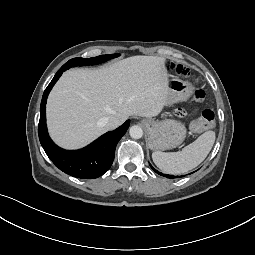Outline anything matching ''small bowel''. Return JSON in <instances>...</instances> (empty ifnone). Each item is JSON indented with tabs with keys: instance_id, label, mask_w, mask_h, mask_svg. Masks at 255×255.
Masks as SVG:
<instances>
[{
	"instance_id": "small-bowel-1",
	"label": "small bowel",
	"mask_w": 255,
	"mask_h": 255,
	"mask_svg": "<svg viewBox=\"0 0 255 255\" xmlns=\"http://www.w3.org/2000/svg\"><path fill=\"white\" fill-rule=\"evenodd\" d=\"M173 117L176 121L178 122H183L187 119L188 117V112L185 108L183 107H178L174 110L173 112Z\"/></svg>"
}]
</instances>
